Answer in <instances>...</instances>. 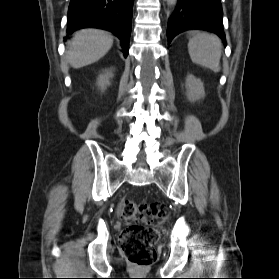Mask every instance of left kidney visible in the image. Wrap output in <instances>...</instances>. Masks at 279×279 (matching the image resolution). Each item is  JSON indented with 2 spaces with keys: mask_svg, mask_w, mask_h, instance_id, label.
<instances>
[{
  "mask_svg": "<svg viewBox=\"0 0 279 279\" xmlns=\"http://www.w3.org/2000/svg\"><path fill=\"white\" fill-rule=\"evenodd\" d=\"M186 89L187 99L191 102L202 99L205 96L203 83L200 79L193 75H187L186 77Z\"/></svg>",
  "mask_w": 279,
  "mask_h": 279,
  "instance_id": "1",
  "label": "left kidney"
}]
</instances>
